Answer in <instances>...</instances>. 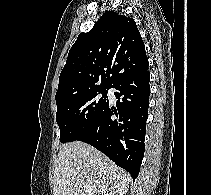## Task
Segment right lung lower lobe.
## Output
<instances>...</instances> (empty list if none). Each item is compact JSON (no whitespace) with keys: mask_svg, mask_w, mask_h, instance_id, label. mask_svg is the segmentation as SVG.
Here are the masks:
<instances>
[{"mask_svg":"<svg viewBox=\"0 0 211 195\" xmlns=\"http://www.w3.org/2000/svg\"><path fill=\"white\" fill-rule=\"evenodd\" d=\"M148 66L119 79L116 107L108 105L101 116L77 140L94 146L115 164L137 178L144 156L149 106Z\"/></svg>","mask_w":211,"mask_h":195,"instance_id":"1","label":"right lung lower lobe"}]
</instances>
